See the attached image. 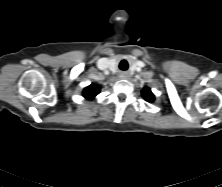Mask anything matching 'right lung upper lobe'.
<instances>
[{
	"label": "right lung upper lobe",
	"instance_id": "1",
	"mask_svg": "<svg viewBox=\"0 0 222 187\" xmlns=\"http://www.w3.org/2000/svg\"><path fill=\"white\" fill-rule=\"evenodd\" d=\"M100 92V88L95 84H91L83 90V96L86 99H93Z\"/></svg>",
	"mask_w": 222,
	"mask_h": 187
}]
</instances>
